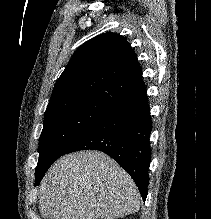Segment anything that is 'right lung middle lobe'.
I'll return each instance as SVG.
<instances>
[{"mask_svg":"<svg viewBox=\"0 0 211 219\" xmlns=\"http://www.w3.org/2000/svg\"><path fill=\"white\" fill-rule=\"evenodd\" d=\"M117 105L94 97L64 100L48 106L39 139L36 185L51 164L85 131Z\"/></svg>","mask_w":211,"mask_h":219,"instance_id":"1","label":"right lung middle lobe"}]
</instances>
